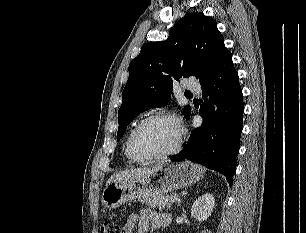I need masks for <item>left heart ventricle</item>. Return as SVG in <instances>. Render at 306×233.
I'll use <instances>...</instances> for the list:
<instances>
[{"instance_id": "1", "label": "left heart ventricle", "mask_w": 306, "mask_h": 233, "mask_svg": "<svg viewBox=\"0 0 306 233\" xmlns=\"http://www.w3.org/2000/svg\"><path fill=\"white\" fill-rule=\"evenodd\" d=\"M177 137L178 126L174 121L154 120L137 133L134 147L141 155L163 153L174 147Z\"/></svg>"}]
</instances>
